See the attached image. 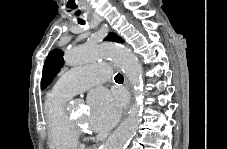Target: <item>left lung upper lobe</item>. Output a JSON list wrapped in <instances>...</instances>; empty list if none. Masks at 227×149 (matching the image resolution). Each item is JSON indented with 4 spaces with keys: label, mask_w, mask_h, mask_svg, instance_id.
I'll return each mask as SVG.
<instances>
[{
    "label": "left lung upper lobe",
    "mask_w": 227,
    "mask_h": 149,
    "mask_svg": "<svg viewBox=\"0 0 227 149\" xmlns=\"http://www.w3.org/2000/svg\"><path fill=\"white\" fill-rule=\"evenodd\" d=\"M106 41H122L120 37L113 33H109V35L104 39ZM63 53L60 50H53L47 56L43 67V75L41 80V89L46 88L52 81V79L59 72L60 68L63 64Z\"/></svg>",
    "instance_id": "1"
}]
</instances>
